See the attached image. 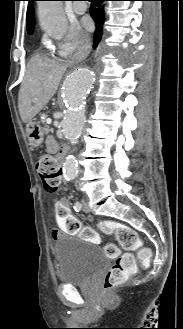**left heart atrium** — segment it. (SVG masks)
Instances as JSON below:
<instances>
[{
	"mask_svg": "<svg viewBox=\"0 0 183 329\" xmlns=\"http://www.w3.org/2000/svg\"><path fill=\"white\" fill-rule=\"evenodd\" d=\"M84 25L88 30L92 28V23L89 20H85Z\"/></svg>",
	"mask_w": 183,
	"mask_h": 329,
	"instance_id": "obj_1",
	"label": "left heart atrium"
}]
</instances>
